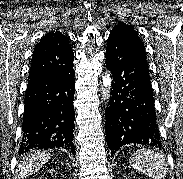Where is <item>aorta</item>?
<instances>
[{
    "instance_id": "aorta-1",
    "label": "aorta",
    "mask_w": 183,
    "mask_h": 179,
    "mask_svg": "<svg viewBox=\"0 0 183 179\" xmlns=\"http://www.w3.org/2000/svg\"><path fill=\"white\" fill-rule=\"evenodd\" d=\"M112 76L111 72L107 71L102 77L101 94L104 100L108 101L111 95Z\"/></svg>"
}]
</instances>
